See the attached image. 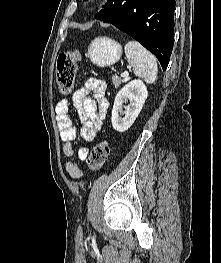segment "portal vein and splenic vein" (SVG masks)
Wrapping results in <instances>:
<instances>
[{"instance_id": "1", "label": "portal vein and splenic vein", "mask_w": 221, "mask_h": 263, "mask_svg": "<svg viewBox=\"0 0 221 263\" xmlns=\"http://www.w3.org/2000/svg\"><path fill=\"white\" fill-rule=\"evenodd\" d=\"M131 67H128V69H130ZM128 72L127 71H124L123 73H121V77H128Z\"/></svg>"}]
</instances>
